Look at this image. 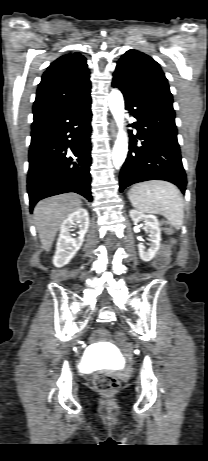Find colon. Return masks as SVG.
<instances>
[{"label": "colon", "instance_id": "colon-1", "mask_svg": "<svg viewBox=\"0 0 208 461\" xmlns=\"http://www.w3.org/2000/svg\"><path fill=\"white\" fill-rule=\"evenodd\" d=\"M162 227L166 233L172 232V227L169 223L163 222ZM168 255H169L168 248L167 247L162 248V250L157 256L156 264L158 266H163L167 261ZM114 336L117 342L126 344V338L124 337L123 333L115 332ZM93 383H94L95 389L103 394L112 393L115 390H117L119 387V380L116 377L110 374H107V373H98L94 377Z\"/></svg>", "mask_w": 208, "mask_h": 461}]
</instances>
